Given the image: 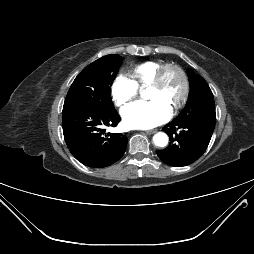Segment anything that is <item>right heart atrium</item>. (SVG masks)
Here are the masks:
<instances>
[{"label":"right heart atrium","instance_id":"obj_1","mask_svg":"<svg viewBox=\"0 0 254 254\" xmlns=\"http://www.w3.org/2000/svg\"><path fill=\"white\" fill-rule=\"evenodd\" d=\"M138 95V87L126 75L119 74L111 84L113 102L121 107Z\"/></svg>","mask_w":254,"mask_h":254}]
</instances>
